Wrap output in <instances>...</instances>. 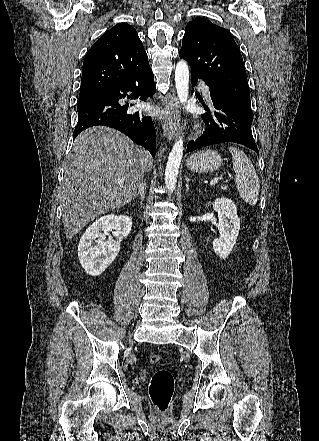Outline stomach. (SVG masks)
<instances>
[{
	"instance_id": "obj_1",
	"label": "stomach",
	"mask_w": 319,
	"mask_h": 441,
	"mask_svg": "<svg viewBox=\"0 0 319 441\" xmlns=\"http://www.w3.org/2000/svg\"><path fill=\"white\" fill-rule=\"evenodd\" d=\"M222 164L221 155L214 150L193 153L187 160V167L194 172H214Z\"/></svg>"
}]
</instances>
